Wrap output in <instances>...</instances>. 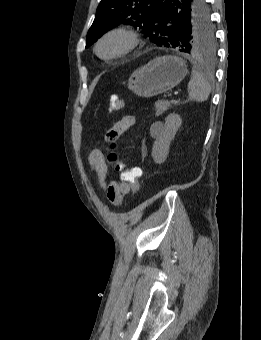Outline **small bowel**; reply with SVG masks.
<instances>
[{
  "instance_id": "obj_1",
  "label": "small bowel",
  "mask_w": 261,
  "mask_h": 340,
  "mask_svg": "<svg viewBox=\"0 0 261 340\" xmlns=\"http://www.w3.org/2000/svg\"><path fill=\"white\" fill-rule=\"evenodd\" d=\"M135 116L124 115L118 120L107 133V140H115L123 135L134 126ZM88 163L92 170L97 175L99 185L105 192L108 201L117 206L121 203L123 197L127 195L131 188L122 178L107 182V174L113 168V165L108 161L104 153L99 149H93L88 155Z\"/></svg>"
}]
</instances>
